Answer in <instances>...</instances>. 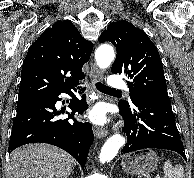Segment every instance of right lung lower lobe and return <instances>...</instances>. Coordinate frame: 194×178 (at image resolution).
Here are the masks:
<instances>
[{
	"label": "right lung lower lobe",
	"mask_w": 194,
	"mask_h": 178,
	"mask_svg": "<svg viewBox=\"0 0 194 178\" xmlns=\"http://www.w3.org/2000/svg\"><path fill=\"white\" fill-rule=\"evenodd\" d=\"M57 94L19 101L17 114L14 119L8 151L28 143H49L62 148L71 154L81 165L85 166L89 148L94 140L93 131L89 123H80L68 119L78 112L82 114L88 107L85 96L70 103L72 113L69 118L61 120L56 116L55 103L60 99ZM63 93L73 94L71 90Z\"/></svg>",
	"instance_id": "1"
}]
</instances>
